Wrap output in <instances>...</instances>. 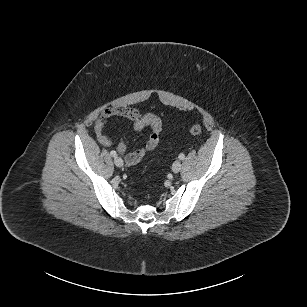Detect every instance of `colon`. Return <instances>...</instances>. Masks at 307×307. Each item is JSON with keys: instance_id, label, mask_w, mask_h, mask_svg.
Here are the masks:
<instances>
[{"instance_id": "obj_1", "label": "colon", "mask_w": 307, "mask_h": 307, "mask_svg": "<svg viewBox=\"0 0 307 307\" xmlns=\"http://www.w3.org/2000/svg\"><path fill=\"white\" fill-rule=\"evenodd\" d=\"M189 132L193 135H199L202 132V127L199 124H193L189 127Z\"/></svg>"}]
</instances>
